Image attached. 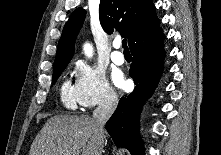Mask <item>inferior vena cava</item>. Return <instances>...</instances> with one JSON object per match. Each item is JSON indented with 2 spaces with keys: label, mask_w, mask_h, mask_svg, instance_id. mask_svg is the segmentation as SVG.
<instances>
[{
  "label": "inferior vena cava",
  "mask_w": 221,
  "mask_h": 155,
  "mask_svg": "<svg viewBox=\"0 0 221 155\" xmlns=\"http://www.w3.org/2000/svg\"><path fill=\"white\" fill-rule=\"evenodd\" d=\"M118 103L115 92L109 90L105 93L98 107L93 111V120L97 127V138L99 145L98 155H102L104 143V125L114 112Z\"/></svg>",
  "instance_id": "inferior-vena-cava-1"
}]
</instances>
